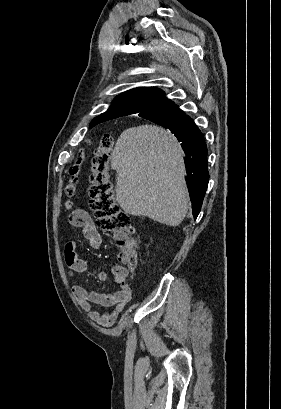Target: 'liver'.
Listing matches in <instances>:
<instances>
[{
    "label": "liver",
    "mask_w": 281,
    "mask_h": 409,
    "mask_svg": "<svg viewBox=\"0 0 281 409\" xmlns=\"http://www.w3.org/2000/svg\"><path fill=\"white\" fill-rule=\"evenodd\" d=\"M116 196L128 215L177 227L186 217L188 188L181 146L165 128L142 124L123 130L113 150Z\"/></svg>",
    "instance_id": "obj_1"
}]
</instances>
